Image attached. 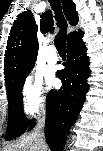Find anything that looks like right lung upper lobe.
<instances>
[{
    "label": "right lung upper lobe",
    "mask_w": 103,
    "mask_h": 151,
    "mask_svg": "<svg viewBox=\"0 0 103 151\" xmlns=\"http://www.w3.org/2000/svg\"><path fill=\"white\" fill-rule=\"evenodd\" d=\"M64 14L71 26L78 23L75 5L71 0H61ZM38 26L30 10L20 13L11 28L5 52L4 72L6 88L9 87L24 72L34 66L38 54L37 41ZM40 31L46 33L53 31L51 12H45L40 20ZM74 31L69 33L68 40L77 35Z\"/></svg>",
    "instance_id": "cb5924a9"
}]
</instances>
